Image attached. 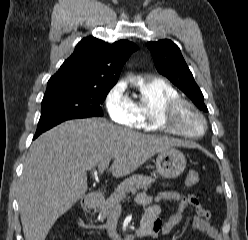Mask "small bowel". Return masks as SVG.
Wrapping results in <instances>:
<instances>
[{
    "label": "small bowel",
    "mask_w": 248,
    "mask_h": 240,
    "mask_svg": "<svg viewBox=\"0 0 248 240\" xmlns=\"http://www.w3.org/2000/svg\"><path fill=\"white\" fill-rule=\"evenodd\" d=\"M163 201L178 202L177 211L166 221L160 219L161 208L158 203ZM136 202L145 208L141 223L151 225V232L148 236L155 238L159 233L164 235L171 233L181 221L183 211L191 206L195 210L192 227L213 240L219 238L217 229L210 223L211 212L204 208L194 195H184L177 191H160L154 196L139 193L136 196Z\"/></svg>",
    "instance_id": "1"
}]
</instances>
